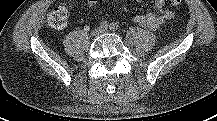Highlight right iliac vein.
<instances>
[{
	"label": "right iliac vein",
	"instance_id": "obj_1",
	"mask_svg": "<svg viewBox=\"0 0 217 121\" xmlns=\"http://www.w3.org/2000/svg\"><path fill=\"white\" fill-rule=\"evenodd\" d=\"M97 33H98V31H94V32H93V35H96Z\"/></svg>",
	"mask_w": 217,
	"mask_h": 121
}]
</instances>
